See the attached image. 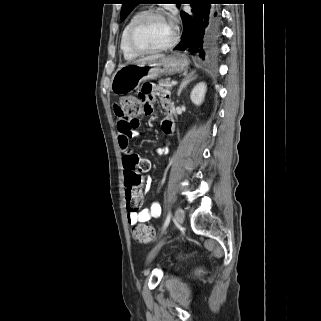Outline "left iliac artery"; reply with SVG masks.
Wrapping results in <instances>:
<instances>
[{
  "instance_id": "obj_1",
  "label": "left iliac artery",
  "mask_w": 321,
  "mask_h": 321,
  "mask_svg": "<svg viewBox=\"0 0 321 321\" xmlns=\"http://www.w3.org/2000/svg\"><path fill=\"white\" fill-rule=\"evenodd\" d=\"M170 219H171V213L168 212L167 217H166V220H165V222H164L163 231H164V230L167 228V226L169 225Z\"/></svg>"
}]
</instances>
